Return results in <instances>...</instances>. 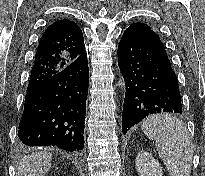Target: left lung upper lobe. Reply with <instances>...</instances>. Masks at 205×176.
I'll return each instance as SVG.
<instances>
[{"mask_svg":"<svg viewBox=\"0 0 205 176\" xmlns=\"http://www.w3.org/2000/svg\"><path fill=\"white\" fill-rule=\"evenodd\" d=\"M132 25L140 26V27H142L145 31H147L148 33H150V34H152V35H154V36H156V37L159 38V36L152 30V28H151L150 26L144 24V23H134V24H132Z\"/></svg>","mask_w":205,"mask_h":176,"instance_id":"1","label":"left lung upper lobe"}]
</instances>
